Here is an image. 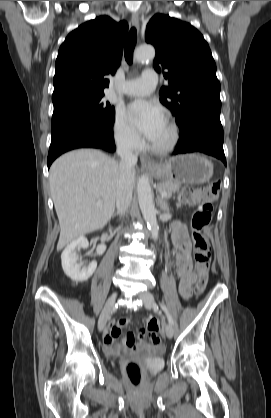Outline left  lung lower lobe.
<instances>
[{"mask_svg":"<svg viewBox=\"0 0 271 418\" xmlns=\"http://www.w3.org/2000/svg\"><path fill=\"white\" fill-rule=\"evenodd\" d=\"M178 125L181 137L173 154L202 152L220 159L226 165L220 115L200 114Z\"/></svg>","mask_w":271,"mask_h":418,"instance_id":"0a47b994","label":"left lung lower lobe"}]
</instances>
